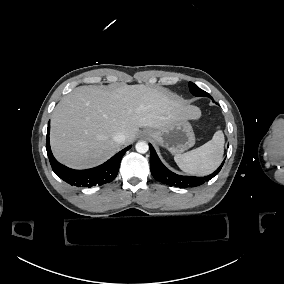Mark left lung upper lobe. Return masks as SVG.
<instances>
[{"label": "left lung upper lobe", "mask_w": 284, "mask_h": 284, "mask_svg": "<svg viewBox=\"0 0 284 284\" xmlns=\"http://www.w3.org/2000/svg\"><path fill=\"white\" fill-rule=\"evenodd\" d=\"M189 89L194 96H206L212 99V97L207 92L203 91L192 82H189Z\"/></svg>", "instance_id": "obj_1"}]
</instances>
